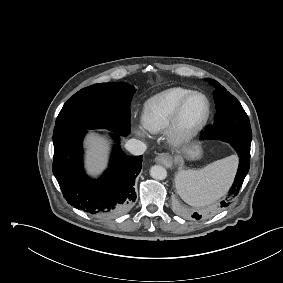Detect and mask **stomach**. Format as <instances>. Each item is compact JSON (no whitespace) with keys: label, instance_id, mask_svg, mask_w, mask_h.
<instances>
[{"label":"stomach","instance_id":"1","mask_svg":"<svg viewBox=\"0 0 283 283\" xmlns=\"http://www.w3.org/2000/svg\"><path fill=\"white\" fill-rule=\"evenodd\" d=\"M181 155L184 158L190 159V160H196L199 159L202 155V149L201 146L198 144H192L188 147H186L182 152Z\"/></svg>","mask_w":283,"mask_h":283}]
</instances>
